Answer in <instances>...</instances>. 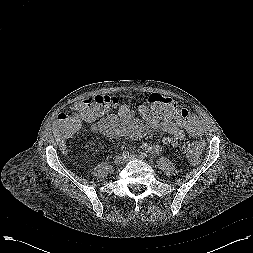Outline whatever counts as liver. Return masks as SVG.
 <instances>
[{"label": "liver", "instance_id": "6515ba94", "mask_svg": "<svg viewBox=\"0 0 253 253\" xmlns=\"http://www.w3.org/2000/svg\"><path fill=\"white\" fill-rule=\"evenodd\" d=\"M53 135L55 137L56 142L60 145V147H62L64 145L63 136L60 133L56 124H54L53 126Z\"/></svg>", "mask_w": 253, "mask_h": 253}]
</instances>
